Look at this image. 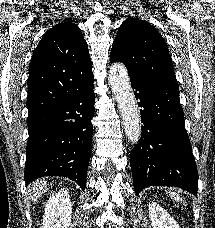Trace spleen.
Instances as JSON below:
<instances>
[{
	"mask_svg": "<svg viewBox=\"0 0 215 228\" xmlns=\"http://www.w3.org/2000/svg\"><path fill=\"white\" fill-rule=\"evenodd\" d=\"M170 198L171 200H176V202H183V204H186L185 200H180L178 194L176 192H170Z\"/></svg>",
	"mask_w": 215,
	"mask_h": 228,
	"instance_id": "spleen-1",
	"label": "spleen"
}]
</instances>
